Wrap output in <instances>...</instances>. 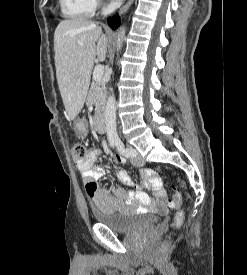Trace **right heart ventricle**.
<instances>
[{
	"mask_svg": "<svg viewBox=\"0 0 247 275\" xmlns=\"http://www.w3.org/2000/svg\"><path fill=\"white\" fill-rule=\"evenodd\" d=\"M62 14L74 20L88 19L93 16L96 7V0H59Z\"/></svg>",
	"mask_w": 247,
	"mask_h": 275,
	"instance_id": "1",
	"label": "right heart ventricle"
}]
</instances>
